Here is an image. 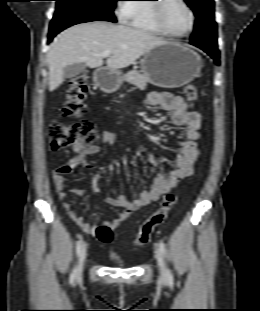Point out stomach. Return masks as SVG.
<instances>
[{
  "label": "stomach",
  "mask_w": 260,
  "mask_h": 311,
  "mask_svg": "<svg viewBox=\"0 0 260 311\" xmlns=\"http://www.w3.org/2000/svg\"><path fill=\"white\" fill-rule=\"evenodd\" d=\"M141 72L149 82L164 88L184 86L199 76L203 67L201 57L190 48L167 42L157 45L141 59ZM96 84L106 93L117 91L122 82L120 71L103 69L95 75Z\"/></svg>",
  "instance_id": "stomach-1"
}]
</instances>
